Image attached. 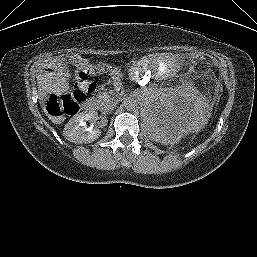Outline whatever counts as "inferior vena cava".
<instances>
[{"label": "inferior vena cava", "instance_id": "inferior-vena-cava-1", "mask_svg": "<svg viewBox=\"0 0 257 257\" xmlns=\"http://www.w3.org/2000/svg\"><path fill=\"white\" fill-rule=\"evenodd\" d=\"M116 107V102L108 100L102 107L103 113H108Z\"/></svg>", "mask_w": 257, "mask_h": 257}]
</instances>
